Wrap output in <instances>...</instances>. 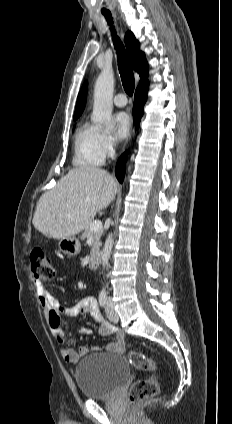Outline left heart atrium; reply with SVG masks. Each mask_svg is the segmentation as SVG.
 <instances>
[{"instance_id":"obj_1","label":"left heart atrium","mask_w":232,"mask_h":424,"mask_svg":"<svg viewBox=\"0 0 232 424\" xmlns=\"http://www.w3.org/2000/svg\"><path fill=\"white\" fill-rule=\"evenodd\" d=\"M117 132L120 138L126 137L131 128V120L127 113L120 112L115 117Z\"/></svg>"}]
</instances>
